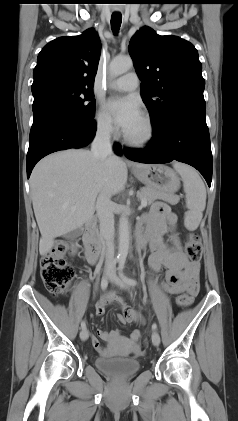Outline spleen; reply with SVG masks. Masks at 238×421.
I'll list each match as a JSON object with an SVG mask.
<instances>
[{
  "label": "spleen",
  "instance_id": "1",
  "mask_svg": "<svg viewBox=\"0 0 238 421\" xmlns=\"http://www.w3.org/2000/svg\"><path fill=\"white\" fill-rule=\"evenodd\" d=\"M173 168L181 176L186 194L188 211L185 213L184 225L188 230L194 231L198 228L206 207V188L198 172L192 167L174 162Z\"/></svg>",
  "mask_w": 238,
  "mask_h": 421
}]
</instances>
